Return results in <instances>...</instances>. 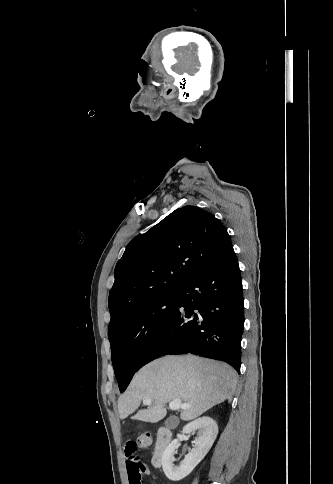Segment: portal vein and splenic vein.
I'll return each instance as SVG.
<instances>
[{"instance_id": "obj_1", "label": "portal vein and splenic vein", "mask_w": 333, "mask_h": 484, "mask_svg": "<svg viewBox=\"0 0 333 484\" xmlns=\"http://www.w3.org/2000/svg\"><path fill=\"white\" fill-rule=\"evenodd\" d=\"M152 402V399L146 398L143 400V404L145 405H150ZM169 407L172 410H179V409H187L191 407L190 404L182 403L180 399H174L173 401L169 402Z\"/></svg>"}]
</instances>
